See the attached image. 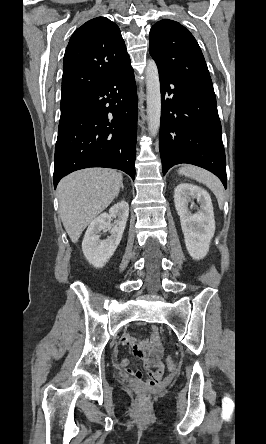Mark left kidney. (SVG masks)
<instances>
[{"label":"left kidney","instance_id":"left-kidney-1","mask_svg":"<svg viewBox=\"0 0 266 444\" xmlns=\"http://www.w3.org/2000/svg\"><path fill=\"white\" fill-rule=\"evenodd\" d=\"M194 199L200 204L197 213L188 208ZM175 208L180 216L184 241L190 256L195 260L204 258L215 233V220L210 195L206 190L193 184H179L174 191Z\"/></svg>","mask_w":266,"mask_h":444}]
</instances>
